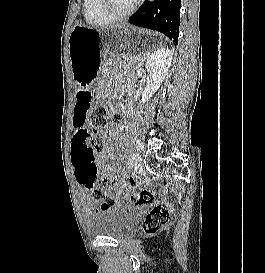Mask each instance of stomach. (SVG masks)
Returning a JSON list of instances; mask_svg holds the SVG:
<instances>
[{
  "label": "stomach",
  "instance_id": "0dacf381",
  "mask_svg": "<svg viewBox=\"0 0 265 273\" xmlns=\"http://www.w3.org/2000/svg\"><path fill=\"white\" fill-rule=\"evenodd\" d=\"M151 34V30H136L129 26L100 30L75 25L69 37V56L75 81L87 85L94 78H105V73L118 69V64H136L141 56H153V51L147 49H159L164 40Z\"/></svg>",
  "mask_w": 265,
  "mask_h": 273
}]
</instances>
